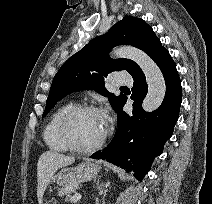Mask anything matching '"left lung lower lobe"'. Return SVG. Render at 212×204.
Segmentation results:
<instances>
[{"instance_id": "obj_1", "label": "left lung lower lobe", "mask_w": 212, "mask_h": 204, "mask_svg": "<svg viewBox=\"0 0 212 204\" xmlns=\"http://www.w3.org/2000/svg\"><path fill=\"white\" fill-rule=\"evenodd\" d=\"M153 60L161 69L166 83L163 103L157 110L145 112L141 107L148 90L145 76L142 71L132 76L133 115L122 110L127 101L125 98L116 110V136L107 148L91 156L93 159L107 160L127 171H134L138 180L149 171L153 159L162 153L165 142L172 136L182 101L181 81L169 52L163 49Z\"/></svg>"}]
</instances>
